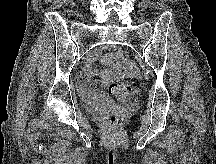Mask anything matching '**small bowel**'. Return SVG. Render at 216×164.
Here are the masks:
<instances>
[{
    "instance_id": "1",
    "label": "small bowel",
    "mask_w": 216,
    "mask_h": 164,
    "mask_svg": "<svg viewBox=\"0 0 216 164\" xmlns=\"http://www.w3.org/2000/svg\"><path fill=\"white\" fill-rule=\"evenodd\" d=\"M104 68L98 69L89 64L86 67V75L78 78V87L84 99L95 108H102L108 103L107 96L98 90L100 81L118 80L133 76L136 67L122 57L118 48H112L101 56Z\"/></svg>"
}]
</instances>
